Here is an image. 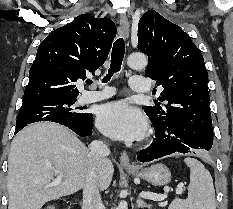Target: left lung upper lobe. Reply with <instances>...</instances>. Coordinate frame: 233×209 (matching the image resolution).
Listing matches in <instances>:
<instances>
[{
    "label": "left lung upper lobe",
    "instance_id": "obj_1",
    "mask_svg": "<svg viewBox=\"0 0 233 209\" xmlns=\"http://www.w3.org/2000/svg\"><path fill=\"white\" fill-rule=\"evenodd\" d=\"M138 49L148 56L145 75L156 80L160 107L145 106L151 122H191L213 131L208 75L200 50L178 25L148 10L138 24Z\"/></svg>",
    "mask_w": 233,
    "mask_h": 209
}]
</instances>
